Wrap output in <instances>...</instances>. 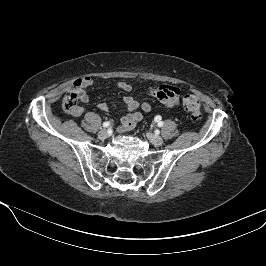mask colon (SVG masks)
Listing matches in <instances>:
<instances>
[{
	"label": "colon",
	"mask_w": 266,
	"mask_h": 266,
	"mask_svg": "<svg viewBox=\"0 0 266 266\" xmlns=\"http://www.w3.org/2000/svg\"><path fill=\"white\" fill-rule=\"evenodd\" d=\"M79 93L75 83L73 89L69 91L63 98V108L65 111L72 113L78 107ZM184 109L191 114L193 121H199L201 118L200 101L197 96L188 94L183 98Z\"/></svg>",
	"instance_id": "obj_1"
}]
</instances>
